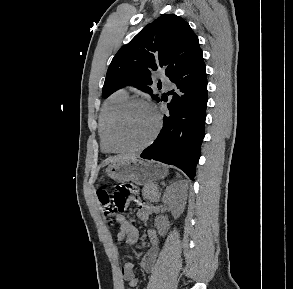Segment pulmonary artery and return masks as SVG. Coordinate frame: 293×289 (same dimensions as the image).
<instances>
[{"mask_svg":"<svg viewBox=\"0 0 293 289\" xmlns=\"http://www.w3.org/2000/svg\"><path fill=\"white\" fill-rule=\"evenodd\" d=\"M163 84L165 85L166 88H169V86H170V80L163 79Z\"/></svg>","mask_w":293,"mask_h":289,"instance_id":"obj_1","label":"pulmonary artery"}]
</instances>
